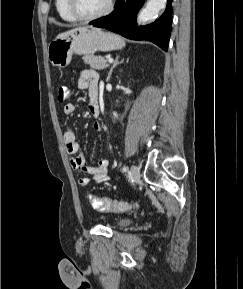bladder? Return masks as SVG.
Returning <instances> with one entry per match:
<instances>
[{
	"label": "bladder",
	"mask_w": 243,
	"mask_h": 289,
	"mask_svg": "<svg viewBox=\"0 0 243 289\" xmlns=\"http://www.w3.org/2000/svg\"><path fill=\"white\" fill-rule=\"evenodd\" d=\"M132 220L130 218L122 217L118 218L115 222L116 227H125L131 224Z\"/></svg>",
	"instance_id": "1"
}]
</instances>
